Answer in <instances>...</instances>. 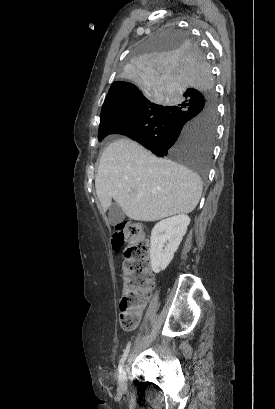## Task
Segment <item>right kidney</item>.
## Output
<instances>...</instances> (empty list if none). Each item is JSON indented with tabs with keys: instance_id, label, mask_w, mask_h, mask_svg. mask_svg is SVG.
Segmentation results:
<instances>
[{
	"instance_id": "obj_1",
	"label": "right kidney",
	"mask_w": 275,
	"mask_h": 409,
	"mask_svg": "<svg viewBox=\"0 0 275 409\" xmlns=\"http://www.w3.org/2000/svg\"><path fill=\"white\" fill-rule=\"evenodd\" d=\"M190 223L187 215L164 219L152 229L150 261L152 271L160 273L171 263Z\"/></svg>"
}]
</instances>
